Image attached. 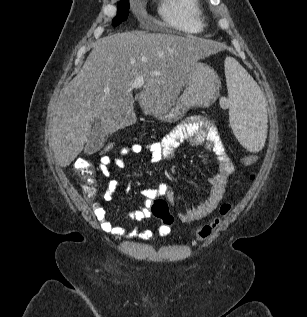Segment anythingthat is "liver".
I'll return each instance as SVG.
<instances>
[{
  "instance_id": "obj_1",
  "label": "liver",
  "mask_w": 307,
  "mask_h": 317,
  "mask_svg": "<svg viewBox=\"0 0 307 317\" xmlns=\"http://www.w3.org/2000/svg\"><path fill=\"white\" fill-rule=\"evenodd\" d=\"M220 44L200 37L147 33H116L95 43L82 69L64 87L53 118L51 144L62 167L81 153L100 118L105 134L136 122L134 101L146 115L164 109L186 84L191 65L222 51ZM144 78L134 98L132 83Z\"/></svg>"
}]
</instances>
